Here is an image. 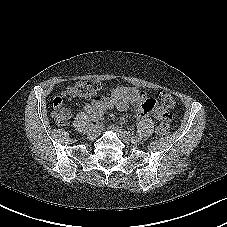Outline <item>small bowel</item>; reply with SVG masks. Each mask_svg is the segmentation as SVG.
<instances>
[{
  "label": "small bowel",
  "mask_w": 227,
  "mask_h": 227,
  "mask_svg": "<svg viewBox=\"0 0 227 227\" xmlns=\"http://www.w3.org/2000/svg\"><path fill=\"white\" fill-rule=\"evenodd\" d=\"M131 104L135 105L137 115L140 118L152 115L157 119H164L166 116L153 99L148 98L144 92L132 87H117L109 97L96 99L92 103L86 104L85 109L93 118L94 115L103 113L110 108L125 111Z\"/></svg>",
  "instance_id": "obj_1"
}]
</instances>
